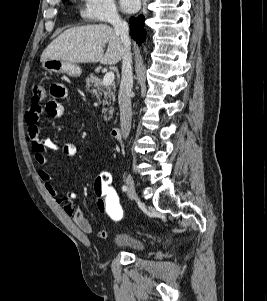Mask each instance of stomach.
Wrapping results in <instances>:
<instances>
[{
  "instance_id": "1",
  "label": "stomach",
  "mask_w": 267,
  "mask_h": 301,
  "mask_svg": "<svg viewBox=\"0 0 267 301\" xmlns=\"http://www.w3.org/2000/svg\"><path fill=\"white\" fill-rule=\"evenodd\" d=\"M42 67L50 73H63L71 77H80L82 71L76 63L64 60L50 59L42 62Z\"/></svg>"
}]
</instances>
